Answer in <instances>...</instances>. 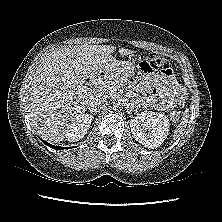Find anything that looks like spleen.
I'll use <instances>...</instances> for the list:
<instances>
[{"mask_svg": "<svg viewBox=\"0 0 222 222\" xmlns=\"http://www.w3.org/2000/svg\"><path fill=\"white\" fill-rule=\"evenodd\" d=\"M188 118H189L188 113H185L182 116V119H181L177 129L174 132V139L179 137L183 133V131L188 123Z\"/></svg>", "mask_w": 222, "mask_h": 222, "instance_id": "obj_1", "label": "spleen"}]
</instances>
